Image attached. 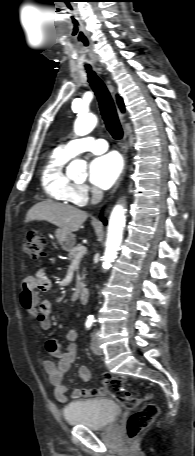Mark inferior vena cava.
I'll return each instance as SVG.
<instances>
[{
  "label": "inferior vena cava",
  "mask_w": 195,
  "mask_h": 456,
  "mask_svg": "<svg viewBox=\"0 0 195 456\" xmlns=\"http://www.w3.org/2000/svg\"><path fill=\"white\" fill-rule=\"evenodd\" d=\"M103 198V191L98 188H92V198H91V203L92 204H97L99 203Z\"/></svg>",
  "instance_id": "inferior-vena-cava-1"
}]
</instances>
